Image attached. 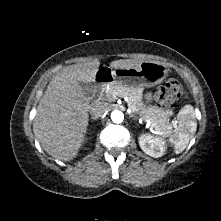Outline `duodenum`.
Segmentation results:
<instances>
[{
	"instance_id": "duodenum-1",
	"label": "duodenum",
	"mask_w": 221,
	"mask_h": 221,
	"mask_svg": "<svg viewBox=\"0 0 221 221\" xmlns=\"http://www.w3.org/2000/svg\"><path fill=\"white\" fill-rule=\"evenodd\" d=\"M112 81V76L109 72H99L96 75V87L101 88L104 84Z\"/></svg>"
}]
</instances>
